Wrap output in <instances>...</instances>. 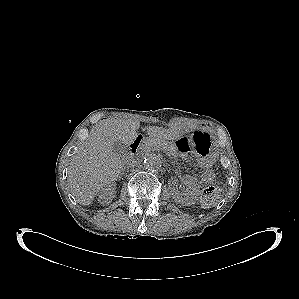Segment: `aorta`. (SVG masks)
Listing matches in <instances>:
<instances>
[{
	"mask_svg": "<svg viewBox=\"0 0 299 299\" xmlns=\"http://www.w3.org/2000/svg\"><path fill=\"white\" fill-rule=\"evenodd\" d=\"M162 166V160L156 155H148L144 160V167L147 170L155 171L160 169Z\"/></svg>",
	"mask_w": 299,
	"mask_h": 299,
	"instance_id": "1",
	"label": "aorta"
}]
</instances>
